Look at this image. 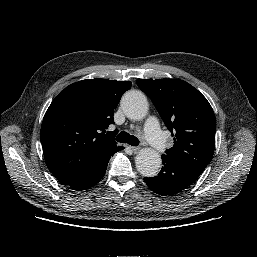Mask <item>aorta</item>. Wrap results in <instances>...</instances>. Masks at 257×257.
Listing matches in <instances>:
<instances>
[{
    "label": "aorta",
    "mask_w": 257,
    "mask_h": 257,
    "mask_svg": "<svg viewBox=\"0 0 257 257\" xmlns=\"http://www.w3.org/2000/svg\"><path fill=\"white\" fill-rule=\"evenodd\" d=\"M148 100L140 91H129L125 93L121 100V108L124 114L133 120H142L148 113ZM138 172L145 177H154L161 167L160 154L151 149H142L135 159Z\"/></svg>",
    "instance_id": "obj_1"
}]
</instances>
